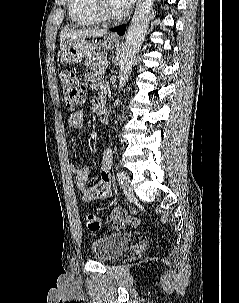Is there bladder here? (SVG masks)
I'll use <instances>...</instances> for the list:
<instances>
[{
  "mask_svg": "<svg viewBox=\"0 0 239 303\" xmlns=\"http://www.w3.org/2000/svg\"><path fill=\"white\" fill-rule=\"evenodd\" d=\"M131 237L127 233H115L95 238L91 242V255L97 261H114L125 252Z\"/></svg>",
  "mask_w": 239,
  "mask_h": 303,
  "instance_id": "31cf9c89",
  "label": "bladder"
}]
</instances>
